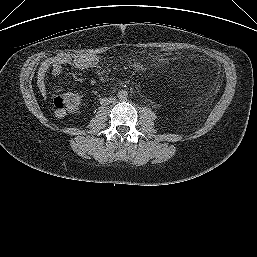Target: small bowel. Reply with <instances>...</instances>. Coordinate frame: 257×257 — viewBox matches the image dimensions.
<instances>
[{"mask_svg":"<svg viewBox=\"0 0 257 257\" xmlns=\"http://www.w3.org/2000/svg\"><path fill=\"white\" fill-rule=\"evenodd\" d=\"M99 64V57L95 54H81L69 56L58 54L45 59L38 67L36 72V83L40 93L46 97V77L56 78L63 72L65 65H70L78 69L96 68ZM57 117H63L65 113L55 112Z\"/></svg>","mask_w":257,"mask_h":257,"instance_id":"1","label":"small bowel"}]
</instances>
